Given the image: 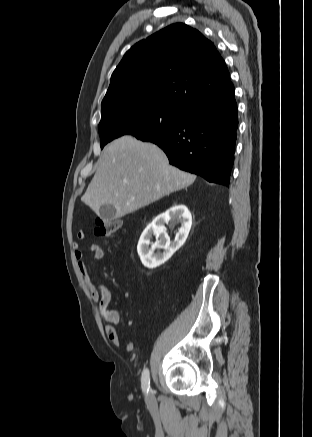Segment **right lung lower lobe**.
I'll return each mask as SVG.
<instances>
[{
  "mask_svg": "<svg viewBox=\"0 0 312 437\" xmlns=\"http://www.w3.org/2000/svg\"><path fill=\"white\" fill-rule=\"evenodd\" d=\"M237 127V104L230 82L220 93L188 108L177 126L143 141L161 147L170 164L181 170L228 187Z\"/></svg>",
  "mask_w": 312,
  "mask_h": 437,
  "instance_id": "obj_1",
  "label": "right lung lower lobe"
}]
</instances>
